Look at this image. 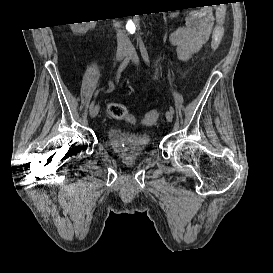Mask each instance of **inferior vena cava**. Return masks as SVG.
<instances>
[{"label": "inferior vena cava", "instance_id": "1", "mask_svg": "<svg viewBox=\"0 0 273 273\" xmlns=\"http://www.w3.org/2000/svg\"><path fill=\"white\" fill-rule=\"evenodd\" d=\"M117 42L119 47L129 48L131 46L128 36L123 31H119L117 33Z\"/></svg>", "mask_w": 273, "mask_h": 273}]
</instances>
